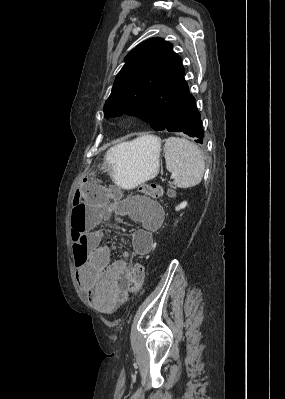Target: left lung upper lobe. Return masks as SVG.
Listing matches in <instances>:
<instances>
[{
	"label": "left lung upper lobe",
	"mask_w": 285,
	"mask_h": 399,
	"mask_svg": "<svg viewBox=\"0 0 285 399\" xmlns=\"http://www.w3.org/2000/svg\"><path fill=\"white\" fill-rule=\"evenodd\" d=\"M125 62L105 102V117L126 113L148 122L155 131L163 130L187 87L181 58L171 43L156 37L140 43Z\"/></svg>",
	"instance_id": "1"
}]
</instances>
